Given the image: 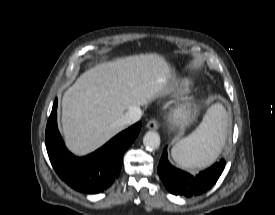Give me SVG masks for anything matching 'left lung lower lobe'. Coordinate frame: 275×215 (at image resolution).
<instances>
[{
    "mask_svg": "<svg viewBox=\"0 0 275 215\" xmlns=\"http://www.w3.org/2000/svg\"><path fill=\"white\" fill-rule=\"evenodd\" d=\"M225 167L221 159L211 167L197 174L191 175L173 167L167 160L165 147L158 166V174L166 189L174 194L185 197L197 196L209 190L218 180Z\"/></svg>",
    "mask_w": 275,
    "mask_h": 215,
    "instance_id": "1",
    "label": "left lung lower lobe"
}]
</instances>
